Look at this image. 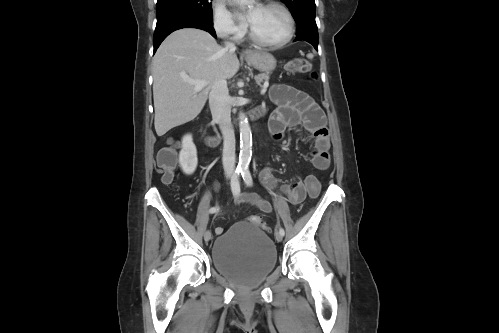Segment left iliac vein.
Returning <instances> with one entry per match:
<instances>
[{
    "label": "left iliac vein",
    "instance_id": "4c4485c4",
    "mask_svg": "<svg viewBox=\"0 0 499 333\" xmlns=\"http://www.w3.org/2000/svg\"><path fill=\"white\" fill-rule=\"evenodd\" d=\"M275 238L278 242H281L283 239V235L280 232L275 233Z\"/></svg>",
    "mask_w": 499,
    "mask_h": 333
}]
</instances>
